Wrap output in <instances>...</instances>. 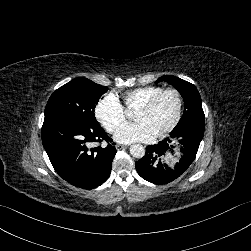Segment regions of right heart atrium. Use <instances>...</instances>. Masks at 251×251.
<instances>
[{"label":"right heart atrium","instance_id":"d8ad5b80","mask_svg":"<svg viewBox=\"0 0 251 251\" xmlns=\"http://www.w3.org/2000/svg\"><path fill=\"white\" fill-rule=\"evenodd\" d=\"M96 119L109 133L115 130L125 120V110L117 94L109 92L103 95L95 104Z\"/></svg>","mask_w":251,"mask_h":251}]
</instances>
